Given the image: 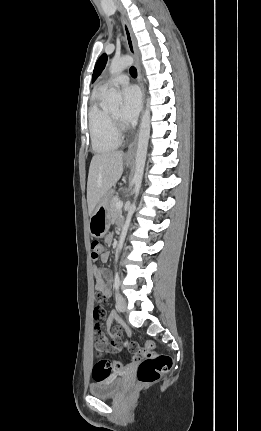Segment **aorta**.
<instances>
[{"mask_svg":"<svg viewBox=\"0 0 261 431\" xmlns=\"http://www.w3.org/2000/svg\"><path fill=\"white\" fill-rule=\"evenodd\" d=\"M133 58L130 56H124L121 58H114L111 61L109 71L110 74L115 75L117 73L122 72L127 67L131 66L133 64ZM122 102V95L121 92L114 88L110 87L107 92V103L110 107H117ZM150 135V110L147 104V107L143 113L142 121L140 125V132H139V138H138V146H137V152H136V167H135V173L133 177L134 182V193H135V201L139 194V190L142 183V177L145 167V161H146V155H147V147H148V140ZM135 201L133 204L129 207L127 218L125 221V224L122 228V232L119 239L116 259H118L119 253L123 247V243L131 222L132 215L135 211L136 204Z\"/></svg>","mask_w":261,"mask_h":431,"instance_id":"1","label":"aorta"}]
</instances>
